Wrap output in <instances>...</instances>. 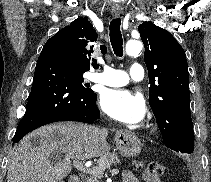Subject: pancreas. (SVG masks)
I'll return each instance as SVG.
<instances>
[{
  "mask_svg": "<svg viewBox=\"0 0 211 182\" xmlns=\"http://www.w3.org/2000/svg\"><path fill=\"white\" fill-rule=\"evenodd\" d=\"M119 163V159L117 154L115 153H106L102 155L98 161V164L96 167L93 168L94 172L89 173V176L85 178L83 182H100L103 178V171L105 169L110 168L111 165H115ZM143 167L142 163L136 164V170L138 167Z\"/></svg>",
  "mask_w": 211,
  "mask_h": 182,
  "instance_id": "pancreas-1",
  "label": "pancreas"
}]
</instances>
